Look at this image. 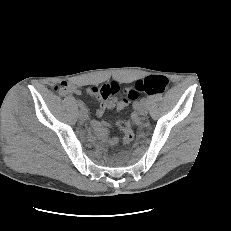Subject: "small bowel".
<instances>
[{
    "label": "small bowel",
    "mask_w": 231,
    "mask_h": 231,
    "mask_svg": "<svg viewBox=\"0 0 231 231\" xmlns=\"http://www.w3.org/2000/svg\"><path fill=\"white\" fill-rule=\"evenodd\" d=\"M104 86V85H103ZM98 85H90L86 87V92L100 98L101 102L96 110L97 119L92 120V127L96 132L97 136L104 142H107L110 145H114L117 143V139L115 137L110 136L109 132V124L100 120L102 115L107 109L115 108L118 111L123 110L129 105V100L127 98L123 99H115L114 97H103L102 95V87ZM79 90L78 88L71 83L63 82L61 93L62 94H72L77 93ZM133 119L137 120L136 113L133 114Z\"/></svg>",
    "instance_id": "obj_1"
}]
</instances>
